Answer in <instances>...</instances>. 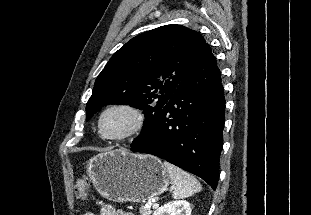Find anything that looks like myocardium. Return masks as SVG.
<instances>
[{"label":"myocardium","instance_id":"f54148a6","mask_svg":"<svg viewBox=\"0 0 311 215\" xmlns=\"http://www.w3.org/2000/svg\"><path fill=\"white\" fill-rule=\"evenodd\" d=\"M116 109L126 110L130 112L134 118V121L131 127L127 131L121 134H117V135H108L103 131V128H102L103 118L108 112L112 110H116ZM144 125H145V115L143 111L137 106L130 104V103H113V104L108 105L101 111L98 117V122H97L98 132L100 136L103 139L110 140V141H124L129 138H132L138 135L143 130Z\"/></svg>","mask_w":311,"mask_h":215}]
</instances>
